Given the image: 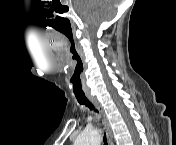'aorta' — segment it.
<instances>
[{
	"label": "aorta",
	"instance_id": "1",
	"mask_svg": "<svg viewBox=\"0 0 176 145\" xmlns=\"http://www.w3.org/2000/svg\"><path fill=\"white\" fill-rule=\"evenodd\" d=\"M100 142L101 139L98 130L84 131L75 141L77 145H100Z\"/></svg>",
	"mask_w": 176,
	"mask_h": 145
}]
</instances>
